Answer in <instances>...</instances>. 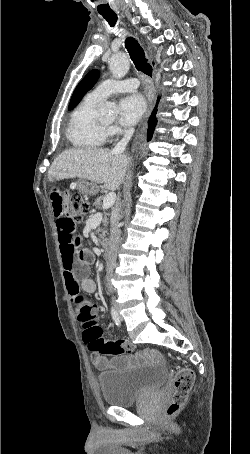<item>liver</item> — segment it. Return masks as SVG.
<instances>
[{"label":"liver","instance_id":"6515ba94","mask_svg":"<svg viewBox=\"0 0 250 454\" xmlns=\"http://www.w3.org/2000/svg\"><path fill=\"white\" fill-rule=\"evenodd\" d=\"M128 158L109 149H69L51 164L48 180L80 178L103 184V188L119 189L126 174Z\"/></svg>","mask_w":250,"mask_h":454}]
</instances>
